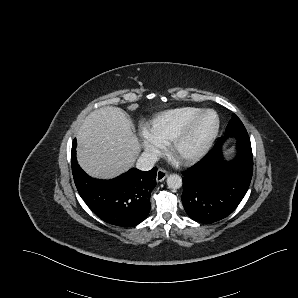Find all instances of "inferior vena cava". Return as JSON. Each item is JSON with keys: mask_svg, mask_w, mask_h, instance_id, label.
<instances>
[{"mask_svg": "<svg viewBox=\"0 0 298 298\" xmlns=\"http://www.w3.org/2000/svg\"><path fill=\"white\" fill-rule=\"evenodd\" d=\"M158 160L159 157L154 152H143L137 160L136 167L141 171H150Z\"/></svg>", "mask_w": 298, "mask_h": 298, "instance_id": "602c4592", "label": "inferior vena cava"}]
</instances>
